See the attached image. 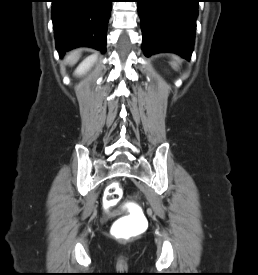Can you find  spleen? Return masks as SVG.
I'll list each match as a JSON object with an SVG mask.
<instances>
[{"mask_svg": "<svg viewBox=\"0 0 258 275\" xmlns=\"http://www.w3.org/2000/svg\"><path fill=\"white\" fill-rule=\"evenodd\" d=\"M171 65L174 69L178 68V63L176 61L171 62Z\"/></svg>", "mask_w": 258, "mask_h": 275, "instance_id": "spleen-1", "label": "spleen"}]
</instances>
